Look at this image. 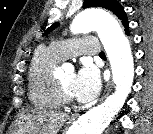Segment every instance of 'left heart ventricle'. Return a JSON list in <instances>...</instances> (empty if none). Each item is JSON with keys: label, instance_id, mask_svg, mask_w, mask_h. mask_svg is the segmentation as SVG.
Instances as JSON below:
<instances>
[{"label": "left heart ventricle", "instance_id": "b2bd125f", "mask_svg": "<svg viewBox=\"0 0 153 134\" xmlns=\"http://www.w3.org/2000/svg\"><path fill=\"white\" fill-rule=\"evenodd\" d=\"M74 72L69 71L63 73L58 80L61 82L63 85L64 89L73 97L72 94V85H73V80H74Z\"/></svg>", "mask_w": 153, "mask_h": 134}]
</instances>
